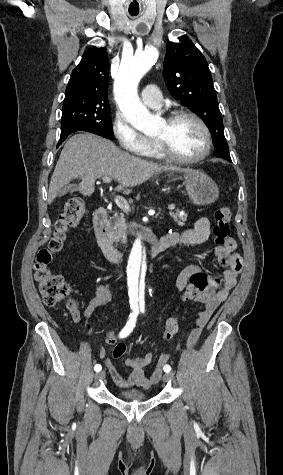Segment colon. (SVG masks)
<instances>
[{"mask_svg": "<svg viewBox=\"0 0 283 475\" xmlns=\"http://www.w3.org/2000/svg\"><path fill=\"white\" fill-rule=\"evenodd\" d=\"M215 223L213 225V237L216 245H222L230 236L231 210L226 206H220L215 210ZM86 216V207L82 199L69 198L56 223L54 234L49 248L38 252L36 256V268L34 278L39 286L43 303L49 307L64 304L74 320L79 319L80 306L72 296V287L63 277L53 272L48 266L53 262L54 255L66 248L70 231L75 228ZM213 284L211 276L204 271L194 272L190 276L189 284L185 289V298L192 299L198 291L205 290ZM179 330L177 316H170L165 322L163 340L171 341ZM159 362L167 360L166 355L158 357Z\"/></svg>", "mask_w": 283, "mask_h": 475, "instance_id": "5ec220e1", "label": "colon"}]
</instances>
